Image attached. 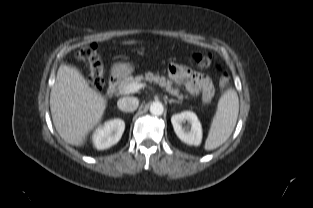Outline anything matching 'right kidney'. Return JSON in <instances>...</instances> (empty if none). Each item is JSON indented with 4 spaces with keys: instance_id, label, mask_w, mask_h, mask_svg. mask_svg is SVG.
Wrapping results in <instances>:
<instances>
[{
    "instance_id": "1",
    "label": "right kidney",
    "mask_w": 313,
    "mask_h": 208,
    "mask_svg": "<svg viewBox=\"0 0 313 208\" xmlns=\"http://www.w3.org/2000/svg\"><path fill=\"white\" fill-rule=\"evenodd\" d=\"M125 130V123L121 119H113L96 129L92 136L93 145L97 150H104L117 144Z\"/></svg>"
}]
</instances>
